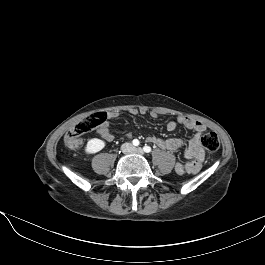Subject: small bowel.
I'll return each instance as SVG.
<instances>
[{
  "label": "small bowel",
  "mask_w": 265,
  "mask_h": 265,
  "mask_svg": "<svg viewBox=\"0 0 265 265\" xmlns=\"http://www.w3.org/2000/svg\"><path fill=\"white\" fill-rule=\"evenodd\" d=\"M148 110L144 107L140 109L132 108L129 110V114L137 115L146 114ZM150 116L152 118H157L158 113L156 111H151ZM108 119L118 117V112L112 111L106 114ZM178 124H182L185 127L192 129L195 134L190 139L188 146L184 152L185 158L188 160L187 162H177L175 164V171L178 174H195L200 171L204 158H205V151L201 146V136L206 130V126L198 120L192 119L187 116H180L178 117L177 121H170L168 122L166 128L168 131H174ZM99 135L107 142H111L114 139L113 134L109 128V122L104 121L101 126L98 128ZM130 134H126V137H130ZM149 142L155 144L156 146L166 149V150H178L183 147V140L180 138H160L156 136H150L148 138Z\"/></svg>",
  "instance_id": "1"
}]
</instances>
